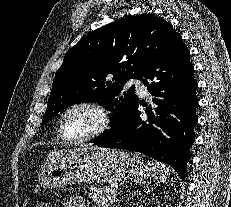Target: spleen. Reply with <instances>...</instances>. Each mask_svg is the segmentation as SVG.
I'll use <instances>...</instances> for the list:
<instances>
[{
	"label": "spleen",
	"mask_w": 231,
	"mask_h": 207,
	"mask_svg": "<svg viewBox=\"0 0 231 207\" xmlns=\"http://www.w3.org/2000/svg\"><path fill=\"white\" fill-rule=\"evenodd\" d=\"M151 176L157 182H166L171 175V168L156 162H150Z\"/></svg>",
	"instance_id": "spleen-1"
}]
</instances>
